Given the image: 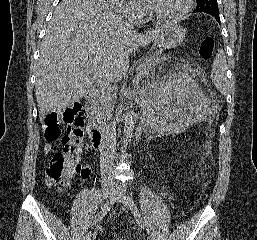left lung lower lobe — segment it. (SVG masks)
Instances as JSON below:
<instances>
[{"instance_id": "left-lung-lower-lobe-1", "label": "left lung lower lobe", "mask_w": 257, "mask_h": 240, "mask_svg": "<svg viewBox=\"0 0 257 240\" xmlns=\"http://www.w3.org/2000/svg\"><path fill=\"white\" fill-rule=\"evenodd\" d=\"M217 21H218V23H220V18L219 17H215V16H213Z\"/></svg>"}]
</instances>
